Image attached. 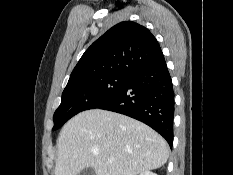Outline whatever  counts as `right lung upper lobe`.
Wrapping results in <instances>:
<instances>
[{"mask_svg":"<svg viewBox=\"0 0 233 175\" xmlns=\"http://www.w3.org/2000/svg\"><path fill=\"white\" fill-rule=\"evenodd\" d=\"M163 57L158 41L142 25L116 24L83 54L68 83L109 73L132 75Z\"/></svg>","mask_w":233,"mask_h":175,"instance_id":"1","label":"right lung upper lobe"}]
</instances>
